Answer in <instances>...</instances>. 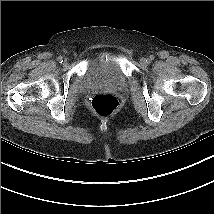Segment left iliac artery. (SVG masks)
Returning <instances> with one entry per match:
<instances>
[{"label":"left iliac artery","mask_w":214,"mask_h":214,"mask_svg":"<svg viewBox=\"0 0 214 214\" xmlns=\"http://www.w3.org/2000/svg\"><path fill=\"white\" fill-rule=\"evenodd\" d=\"M154 59V56L153 55H150L149 57V62L152 61Z\"/></svg>","instance_id":"44dca946"}]
</instances>
